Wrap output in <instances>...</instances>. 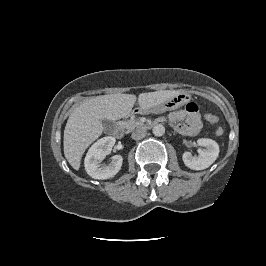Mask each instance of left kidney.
Returning <instances> with one entry per match:
<instances>
[{"instance_id": "left-kidney-1", "label": "left kidney", "mask_w": 266, "mask_h": 266, "mask_svg": "<svg viewBox=\"0 0 266 266\" xmlns=\"http://www.w3.org/2000/svg\"><path fill=\"white\" fill-rule=\"evenodd\" d=\"M199 146L204 147L197 156H192L190 152H185L182 156L184 164L193 170H203L208 168L219 155V145L216 141L207 138L197 140Z\"/></svg>"}]
</instances>
